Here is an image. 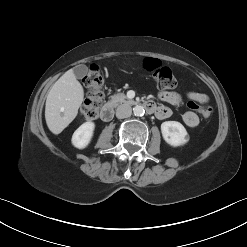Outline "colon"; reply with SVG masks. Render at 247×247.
I'll list each match as a JSON object with an SVG mask.
<instances>
[{
	"instance_id": "1",
	"label": "colon",
	"mask_w": 247,
	"mask_h": 247,
	"mask_svg": "<svg viewBox=\"0 0 247 247\" xmlns=\"http://www.w3.org/2000/svg\"><path fill=\"white\" fill-rule=\"evenodd\" d=\"M144 68L151 74L156 85L161 89H174L177 87V79L170 68L163 66L160 60L147 58L144 61ZM83 83L89 93L81 110V115L85 120H93L98 117L103 104V77L96 65H91ZM190 109L197 111L204 118H209L212 114V108L206 103H191Z\"/></svg>"
}]
</instances>
